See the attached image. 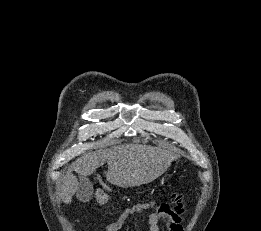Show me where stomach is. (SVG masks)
<instances>
[{"label": "stomach", "instance_id": "obj_1", "mask_svg": "<svg viewBox=\"0 0 261 231\" xmlns=\"http://www.w3.org/2000/svg\"><path fill=\"white\" fill-rule=\"evenodd\" d=\"M170 177H171V175H168L167 177L163 178V180H164V179H168V178H170Z\"/></svg>", "mask_w": 261, "mask_h": 231}]
</instances>
